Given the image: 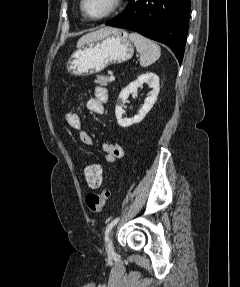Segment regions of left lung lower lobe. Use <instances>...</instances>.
Wrapping results in <instances>:
<instances>
[{"label":"left lung lower lobe","mask_w":240,"mask_h":287,"mask_svg":"<svg viewBox=\"0 0 240 287\" xmlns=\"http://www.w3.org/2000/svg\"><path fill=\"white\" fill-rule=\"evenodd\" d=\"M189 13L190 0H130L123 13L106 25L133 30L168 45L181 63Z\"/></svg>","instance_id":"obj_1"}]
</instances>
